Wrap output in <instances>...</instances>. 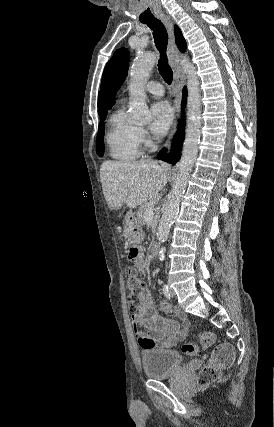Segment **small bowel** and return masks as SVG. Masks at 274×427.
Returning a JSON list of instances; mask_svg holds the SVG:
<instances>
[{
	"instance_id": "obj_1",
	"label": "small bowel",
	"mask_w": 274,
	"mask_h": 427,
	"mask_svg": "<svg viewBox=\"0 0 274 427\" xmlns=\"http://www.w3.org/2000/svg\"><path fill=\"white\" fill-rule=\"evenodd\" d=\"M136 266L140 272L147 270V262L141 254L135 259ZM160 308L164 312H170L171 307L165 302H160ZM183 322V327L174 319L159 315L154 307L151 294L144 290L140 297V305L131 315V327L136 335L139 346L149 352L157 348L171 349L180 340L186 337V327L189 325L188 318L184 314L178 315ZM143 327L145 331L140 330Z\"/></svg>"
}]
</instances>
